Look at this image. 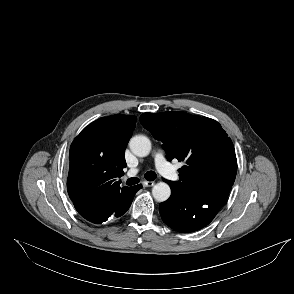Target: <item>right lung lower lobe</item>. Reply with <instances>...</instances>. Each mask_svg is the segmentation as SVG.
Wrapping results in <instances>:
<instances>
[{
	"label": "right lung lower lobe",
	"instance_id": "1",
	"mask_svg": "<svg viewBox=\"0 0 294 294\" xmlns=\"http://www.w3.org/2000/svg\"><path fill=\"white\" fill-rule=\"evenodd\" d=\"M140 188V184L129 187L121 196L112 202L110 206L101 208L95 213L80 215L95 224H101L102 222L107 221L109 217H120L129 209L135 193Z\"/></svg>",
	"mask_w": 294,
	"mask_h": 294
}]
</instances>
